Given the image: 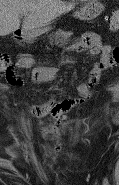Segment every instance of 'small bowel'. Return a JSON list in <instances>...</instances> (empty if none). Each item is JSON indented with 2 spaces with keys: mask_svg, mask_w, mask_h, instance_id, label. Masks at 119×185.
<instances>
[{
  "mask_svg": "<svg viewBox=\"0 0 119 185\" xmlns=\"http://www.w3.org/2000/svg\"><path fill=\"white\" fill-rule=\"evenodd\" d=\"M76 49L85 50L89 49L93 54H100L101 61L97 63L91 70V76L87 83L78 86V91L82 98L80 99H66L59 103H48L41 109L42 113H50L53 117V121L47 126L45 123L40 124V132L44 133L47 129L58 135L57 145L55 146V152H59L61 149V126L66 113L78 104L83 102L84 99L91 96V91L101 79V73L103 70L115 67L119 62V49L113 48L109 45L100 43L96 34L87 32L83 35L82 41L75 46ZM15 68H19L29 72V79L33 83H42L52 79L55 75V70L52 68H40L33 67L31 62L22 58L15 63H8L4 67L5 77L9 84L15 86L23 85V80L15 75Z\"/></svg>",
  "mask_w": 119,
  "mask_h": 185,
  "instance_id": "small-bowel-1",
  "label": "small bowel"
}]
</instances>
